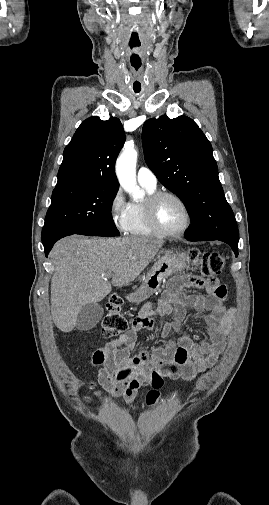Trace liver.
Segmentation results:
<instances>
[{
    "label": "liver",
    "mask_w": 269,
    "mask_h": 505,
    "mask_svg": "<svg viewBox=\"0 0 269 505\" xmlns=\"http://www.w3.org/2000/svg\"><path fill=\"white\" fill-rule=\"evenodd\" d=\"M162 241L146 237L92 238L73 235L59 240L50 257L51 314L58 329L71 332L83 306L103 300L113 286L134 281L149 265ZM110 275L111 282L105 277Z\"/></svg>",
    "instance_id": "liver-1"
}]
</instances>
